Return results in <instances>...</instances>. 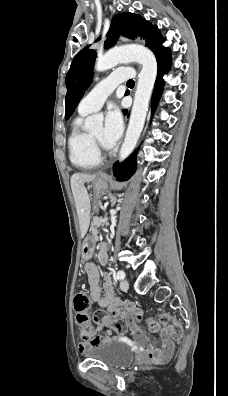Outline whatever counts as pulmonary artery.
<instances>
[{"instance_id": "pulmonary-artery-1", "label": "pulmonary artery", "mask_w": 228, "mask_h": 396, "mask_svg": "<svg viewBox=\"0 0 228 396\" xmlns=\"http://www.w3.org/2000/svg\"><path fill=\"white\" fill-rule=\"evenodd\" d=\"M134 76V70L128 67H122L112 72L109 76L97 83L95 87L81 100L78 107L79 113L88 114L99 110L107 97L120 83L131 79Z\"/></svg>"}]
</instances>
